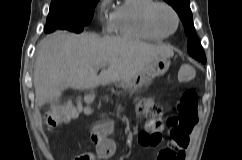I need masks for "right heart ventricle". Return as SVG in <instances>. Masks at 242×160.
<instances>
[{
  "instance_id": "e07e8e85",
  "label": "right heart ventricle",
  "mask_w": 242,
  "mask_h": 160,
  "mask_svg": "<svg viewBox=\"0 0 242 160\" xmlns=\"http://www.w3.org/2000/svg\"><path fill=\"white\" fill-rule=\"evenodd\" d=\"M154 0H123L116 5L110 16L112 31L121 37L142 40L161 41L165 37L151 31L144 19L146 9Z\"/></svg>"
}]
</instances>
